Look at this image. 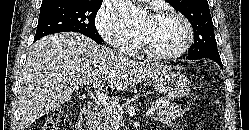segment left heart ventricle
Masks as SVG:
<instances>
[{"mask_svg":"<svg viewBox=\"0 0 249 130\" xmlns=\"http://www.w3.org/2000/svg\"><path fill=\"white\" fill-rule=\"evenodd\" d=\"M137 30L148 48L156 53L175 50L185 37L183 24L168 16H147L139 22Z\"/></svg>","mask_w":249,"mask_h":130,"instance_id":"left-heart-ventricle-1","label":"left heart ventricle"}]
</instances>
